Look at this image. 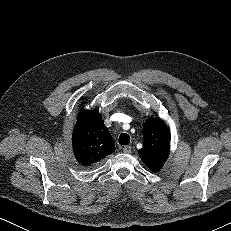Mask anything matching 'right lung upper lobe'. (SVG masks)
<instances>
[{
	"label": "right lung upper lobe",
	"mask_w": 231,
	"mask_h": 231,
	"mask_svg": "<svg viewBox=\"0 0 231 231\" xmlns=\"http://www.w3.org/2000/svg\"><path fill=\"white\" fill-rule=\"evenodd\" d=\"M76 160L85 166L96 164L115 151V142L97 110L79 112L73 131Z\"/></svg>",
	"instance_id": "cb5924a9"
}]
</instances>
